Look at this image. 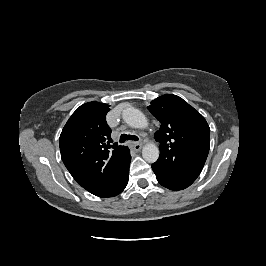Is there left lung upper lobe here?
Here are the masks:
<instances>
[{
	"instance_id": "left-lung-upper-lobe-1",
	"label": "left lung upper lobe",
	"mask_w": 266,
	"mask_h": 266,
	"mask_svg": "<svg viewBox=\"0 0 266 266\" xmlns=\"http://www.w3.org/2000/svg\"><path fill=\"white\" fill-rule=\"evenodd\" d=\"M147 108L161 122L154 135L160 143V156L152 166L166 177L193 183L209 152L210 128L206 120L172 94L156 98Z\"/></svg>"
}]
</instances>
